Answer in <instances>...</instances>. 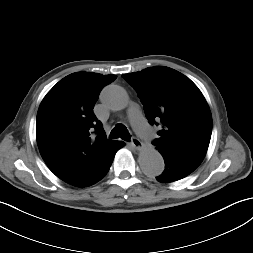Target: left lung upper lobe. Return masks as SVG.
<instances>
[{"label":"left lung upper lobe","mask_w":253,"mask_h":253,"mask_svg":"<svg viewBox=\"0 0 253 253\" xmlns=\"http://www.w3.org/2000/svg\"><path fill=\"white\" fill-rule=\"evenodd\" d=\"M122 77L136 90L151 125H160L152 144L164 157L201 163L212 133V116L198 87L169 67H150Z\"/></svg>","instance_id":"1"}]
</instances>
